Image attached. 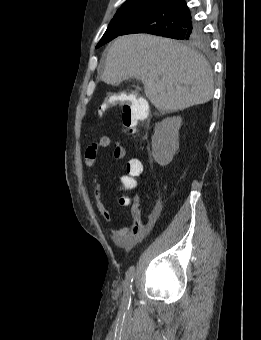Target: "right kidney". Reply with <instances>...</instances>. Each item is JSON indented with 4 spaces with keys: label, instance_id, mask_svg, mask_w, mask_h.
<instances>
[{
    "label": "right kidney",
    "instance_id": "right-kidney-1",
    "mask_svg": "<svg viewBox=\"0 0 261 340\" xmlns=\"http://www.w3.org/2000/svg\"><path fill=\"white\" fill-rule=\"evenodd\" d=\"M181 117H171L157 123L152 136V155L160 166L168 165L179 148Z\"/></svg>",
    "mask_w": 261,
    "mask_h": 340
}]
</instances>
